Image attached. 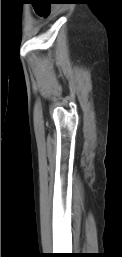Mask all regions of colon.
Here are the masks:
<instances>
[{
	"label": "colon",
	"instance_id": "obj_1",
	"mask_svg": "<svg viewBox=\"0 0 122 257\" xmlns=\"http://www.w3.org/2000/svg\"><path fill=\"white\" fill-rule=\"evenodd\" d=\"M35 10H53V5H35ZM38 15H45V11H38Z\"/></svg>",
	"mask_w": 122,
	"mask_h": 257
}]
</instances>
